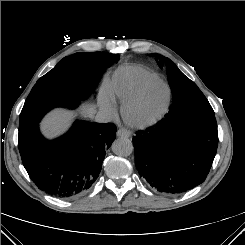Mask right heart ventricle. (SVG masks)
I'll list each match as a JSON object with an SVG mask.
<instances>
[{
	"mask_svg": "<svg viewBox=\"0 0 245 245\" xmlns=\"http://www.w3.org/2000/svg\"><path fill=\"white\" fill-rule=\"evenodd\" d=\"M158 78L150 69L139 65L121 66L115 70L110 82V94L124 103L147 81Z\"/></svg>",
	"mask_w": 245,
	"mask_h": 245,
	"instance_id": "right-heart-ventricle-1",
	"label": "right heart ventricle"
}]
</instances>
